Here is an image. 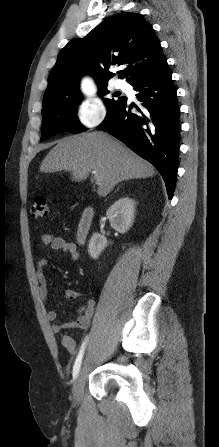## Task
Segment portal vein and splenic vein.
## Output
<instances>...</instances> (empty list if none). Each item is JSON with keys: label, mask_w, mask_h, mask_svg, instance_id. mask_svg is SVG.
I'll use <instances>...</instances> for the list:
<instances>
[{"label": "portal vein and splenic vein", "mask_w": 219, "mask_h": 447, "mask_svg": "<svg viewBox=\"0 0 219 447\" xmlns=\"http://www.w3.org/2000/svg\"><path fill=\"white\" fill-rule=\"evenodd\" d=\"M92 173H93L94 175H96V172H95V171H93Z\"/></svg>", "instance_id": "obj_1"}]
</instances>
